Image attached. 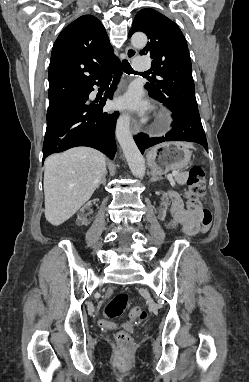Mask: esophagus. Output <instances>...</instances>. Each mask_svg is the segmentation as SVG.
Segmentation results:
<instances>
[{"mask_svg":"<svg viewBox=\"0 0 249 382\" xmlns=\"http://www.w3.org/2000/svg\"><path fill=\"white\" fill-rule=\"evenodd\" d=\"M126 57L129 60H132L137 55V50L131 46H128L125 51ZM131 129L134 134L140 131V124L138 120L133 118L131 120Z\"/></svg>","mask_w":249,"mask_h":382,"instance_id":"34e87169","label":"esophagus"}]
</instances>
